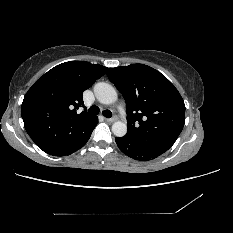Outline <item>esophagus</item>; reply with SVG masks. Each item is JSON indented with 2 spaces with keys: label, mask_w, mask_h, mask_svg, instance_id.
Returning a JSON list of instances; mask_svg holds the SVG:
<instances>
[{
  "label": "esophagus",
  "mask_w": 233,
  "mask_h": 233,
  "mask_svg": "<svg viewBox=\"0 0 233 233\" xmlns=\"http://www.w3.org/2000/svg\"><path fill=\"white\" fill-rule=\"evenodd\" d=\"M117 120V117L116 116H114V117H112V118H105V121H107V122H114V121H116Z\"/></svg>",
  "instance_id": "obj_1"
}]
</instances>
